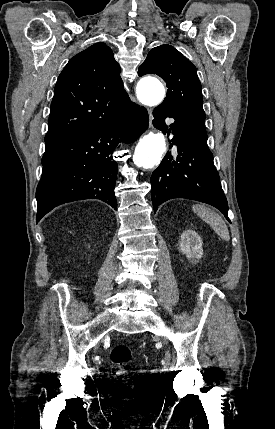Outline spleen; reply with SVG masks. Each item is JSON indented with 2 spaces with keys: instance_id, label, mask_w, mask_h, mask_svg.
Wrapping results in <instances>:
<instances>
[{
  "instance_id": "1",
  "label": "spleen",
  "mask_w": 275,
  "mask_h": 429,
  "mask_svg": "<svg viewBox=\"0 0 275 429\" xmlns=\"http://www.w3.org/2000/svg\"><path fill=\"white\" fill-rule=\"evenodd\" d=\"M192 209L202 220L209 224L223 240L228 241L230 239L225 222L216 212L200 204L194 205Z\"/></svg>"
}]
</instances>
